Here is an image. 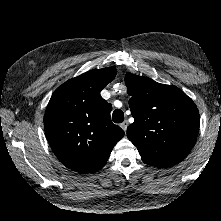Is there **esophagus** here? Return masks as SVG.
Instances as JSON below:
<instances>
[{"label": "esophagus", "instance_id": "esophagus-1", "mask_svg": "<svg viewBox=\"0 0 221 221\" xmlns=\"http://www.w3.org/2000/svg\"><path fill=\"white\" fill-rule=\"evenodd\" d=\"M128 121H124L123 123H121V128L126 132V130H127V127H128Z\"/></svg>", "mask_w": 221, "mask_h": 221}]
</instances>
